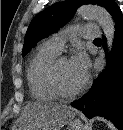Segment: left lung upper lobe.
Instances as JSON below:
<instances>
[{"instance_id": "5c2ea615", "label": "left lung upper lobe", "mask_w": 123, "mask_h": 130, "mask_svg": "<svg viewBox=\"0 0 123 130\" xmlns=\"http://www.w3.org/2000/svg\"><path fill=\"white\" fill-rule=\"evenodd\" d=\"M83 4L103 6L112 17L119 8L114 0H66L55 3L32 19L26 32L22 55L25 56L40 39L67 23Z\"/></svg>"}]
</instances>
